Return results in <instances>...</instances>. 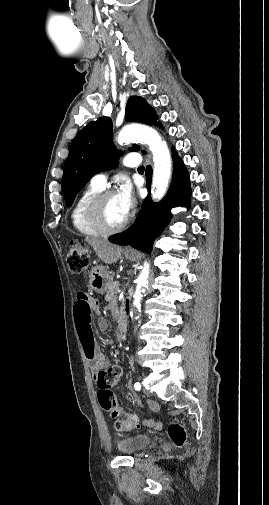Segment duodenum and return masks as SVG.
Masks as SVG:
<instances>
[{
    "instance_id": "duodenum-1",
    "label": "duodenum",
    "mask_w": 269,
    "mask_h": 505,
    "mask_svg": "<svg viewBox=\"0 0 269 505\" xmlns=\"http://www.w3.org/2000/svg\"><path fill=\"white\" fill-rule=\"evenodd\" d=\"M117 336L120 341H124L127 337V322L123 317L118 321Z\"/></svg>"
}]
</instances>
